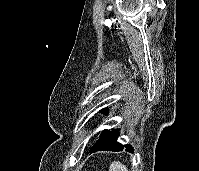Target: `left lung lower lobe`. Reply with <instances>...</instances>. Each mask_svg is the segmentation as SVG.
<instances>
[{
	"instance_id": "1",
	"label": "left lung lower lobe",
	"mask_w": 199,
	"mask_h": 171,
	"mask_svg": "<svg viewBox=\"0 0 199 171\" xmlns=\"http://www.w3.org/2000/svg\"><path fill=\"white\" fill-rule=\"evenodd\" d=\"M119 129L113 130H103L99 140L93 145L90 153L100 151V150H111V151H121L123 150V145L117 142ZM126 150L133 152L131 145H125Z\"/></svg>"
}]
</instances>
